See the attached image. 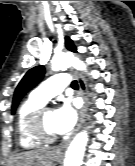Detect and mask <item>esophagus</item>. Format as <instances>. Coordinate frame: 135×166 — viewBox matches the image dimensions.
<instances>
[{"label":"esophagus","instance_id":"esophagus-1","mask_svg":"<svg viewBox=\"0 0 135 166\" xmlns=\"http://www.w3.org/2000/svg\"><path fill=\"white\" fill-rule=\"evenodd\" d=\"M76 77L78 79V84H79V95L81 96L83 103H82V107L80 110L79 123H78L77 128L75 129L72 137L78 132L82 123L84 122V118H85V114H86V110H87L86 82L80 74L76 73ZM70 139L68 141H66L64 144H62L59 148L55 149L54 152L58 153V152H61L64 148H66L70 142Z\"/></svg>","mask_w":135,"mask_h":166}]
</instances>
